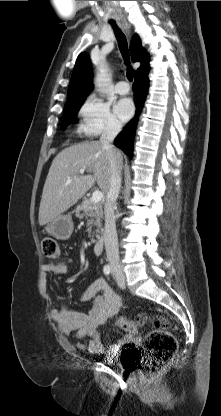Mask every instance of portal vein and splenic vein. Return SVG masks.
Masks as SVG:
<instances>
[{
  "label": "portal vein and splenic vein",
  "mask_w": 221,
  "mask_h": 416,
  "mask_svg": "<svg viewBox=\"0 0 221 416\" xmlns=\"http://www.w3.org/2000/svg\"><path fill=\"white\" fill-rule=\"evenodd\" d=\"M84 172H85V170H83V169L79 171L80 174H83ZM70 181H71L70 178H68V182H70ZM102 198H103V193L101 191L96 190L92 194L91 202L99 203L102 200Z\"/></svg>",
  "instance_id": "portal-vein-and-splenic-vein-1"
}]
</instances>
